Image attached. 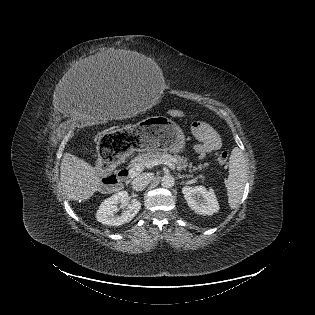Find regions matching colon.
<instances>
[{
    "instance_id": "colon-1",
    "label": "colon",
    "mask_w": 315,
    "mask_h": 315,
    "mask_svg": "<svg viewBox=\"0 0 315 315\" xmlns=\"http://www.w3.org/2000/svg\"><path fill=\"white\" fill-rule=\"evenodd\" d=\"M171 115L175 116V117H181V116H183V112L179 111V110H173V111H171ZM228 158H229V153L227 151H222L218 155L217 161L219 164L224 165L227 163ZM114 164H115V160L114 161H107V160L103 159L102 157L100 158L99 169H100L101 174L103 175V181L106 184L113 183Z\"/></svg>"
}]
</instances>
